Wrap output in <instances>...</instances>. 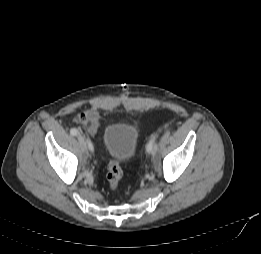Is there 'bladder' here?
<instances>
[{
	"label": "bladder",
	"mask_w": 261,
	"mask_h": 254,
	"mask_svg": "<svg viewBox=\"0 0 261 254\" xmlns=\"http://www.w3.org/2000/svg\"><path fill=\"white\" fill-rule=\"evenodd\" d=\"M103 144L105 151L116 160L128 161L136 152L138 132L129 124H111L104 131Z\"/></svg>",
	"instance_id": "31cf9c89"
}]
</instances>
